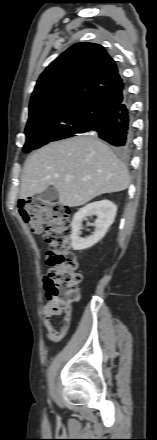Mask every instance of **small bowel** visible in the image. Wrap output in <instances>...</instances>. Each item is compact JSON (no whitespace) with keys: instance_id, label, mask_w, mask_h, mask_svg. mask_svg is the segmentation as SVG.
Instances as JSON below:
<instances>
[{"instance_id":"1","label":"small bowel","mask_w":157,"mask_h":440,"mask_svg":"<svg viewBox=\"0 0 157 440\" xmlns=\"http://www.w3.org/2000/svg\"><path fill=\"white\" fill-rule=\"evenodd\" d=\"M42 313L44 314V324L48 329V337L53 341L61 340L68 332L70 319L63 318L60 322L59 328H55L52 324L53 315L48 304L44 305L42 308Z\"/></svg>"}]
</instances>
